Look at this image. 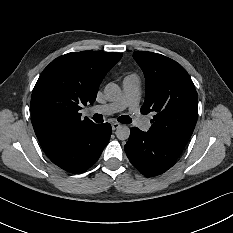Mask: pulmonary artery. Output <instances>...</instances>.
Returning <instances> with one entry per match:
<instances>
[{"label": "pulmonary artery", "mask_w": 233, "mask_h": 233, "mask_svg": "<svg viewBox=\"0 0 233 233\" xmlns=\"http://www.w3.org/2000/svg\"><path fill=\"white\" fill-rule=\"evenodd\" d=\"M123 96L120 100L104 105L98 106L92 109L94 113L113 114L119 111L129 108L130 112L138 116V101L140 95V81L138 78H126L122 84ZM139 128L142 131L147 132L150 129V123L148 121H140Z\"/></svg>", "instance_id": "1"}]
</instances>
